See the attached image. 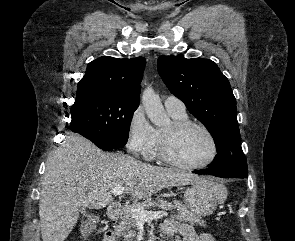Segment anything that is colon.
Masks as SVG:
<instances>
[{"label":"colon","mask_w":295,"mask_h":241,"mask_svg":"<svg viewBox=\"0 0 295 241\" xmlns=\"http://www.w3.org/2000/svg\"><path fill=\"white\" fill-rule=\"evenodd\" d=\"M98 224L97 217H87L82 223V234L84 237H88L93 233Z\"/></svg>","instance_id":"5ec220e1"}]
</instances>
